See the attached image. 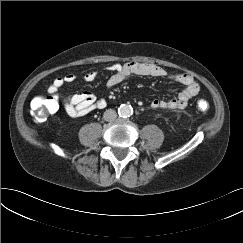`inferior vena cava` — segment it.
<instances>
[{
	"label": "inferior vena cava",
	"instance_id": "602c4592",
	"mask_svg": "<svg viewBox=\"0 0 243 243\" xmlns=\"http://www.w3.org/2000/svg\"><path fill=\"white\" fill-rule=\"evenodd\" d=\"M117 117V113L113 109H108L104 112L103 118L107 122L114 121Z\"/></svg>",
	"mask_w": 243,
	"mask_h": 243
}]
</instances>
